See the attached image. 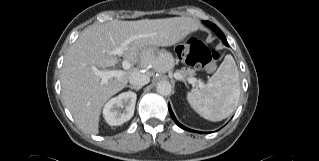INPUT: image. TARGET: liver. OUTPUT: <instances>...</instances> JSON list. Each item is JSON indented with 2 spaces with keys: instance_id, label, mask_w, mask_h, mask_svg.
Listing matches in <instances>:
<instances>
[{
  "instance_id": "6515ba94",
  "label": "liver",
  "mask_w": 319,
  "mask_h": 161,
  "mask_svg": "<svg viewBox=\"0 0 319 161\" xmlns=\"http://www.w3.org/2000/svg\"><path fill=\"white\" fill-rule=\"evenodd\" d=\"M197 20L190 17L143 19L138 21L114 20L93 24L85 28L69 48L62 67L61 87L64 104L75 122L87 133L98 134L99 118L105 102L121 91L137 68L125 71L119 78L103 83L94 67H114L118 57L112 50L125 40L133 38L124 50L123 58L132 63L140 62L142 68L155 63L142 56L148 47L172 46L191 32L197 31Z\"/></svg>"
}]
</instances>
